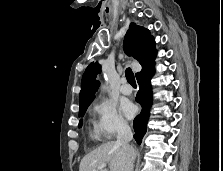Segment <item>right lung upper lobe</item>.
Segmentation results:
<instances>
[{
    "instance_id": "cb5924a9",
    "label": "right lung upper lobe",
    "mask_w": 223,
    "mask_h": 171,
    "mask_svg": "<svg viewBox=\"0 0 223 171\" xmlns=\"http://www.w3.org/2000/svg\"><path fill=\"white\" fill-rule=\"evenodd\" d=\"M123 49L128 56L134 57L142 66L141 72L154 65L156 57L155 40L149 31L141 26L131 23L125 35ZM101 72L99 63H91L86 68L81 80L79 106L89 105L95 98V92L100 82L96 79ZM141 72L136 73V76Z\"/></svg>"
}]
</instances>
